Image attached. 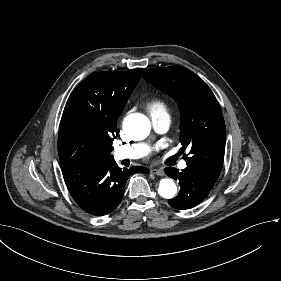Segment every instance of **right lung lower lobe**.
Returning <instances> with one entry per match:
<instances>
[{
    "mask_svg": "<svg viewBox=\"0 0 281 281\" xmlns=\"http://www.w3.org/2000/svg\"><path fill=\"white\" fill-rule=\"evenodd\" d=\"M62 157L61 170L73 199L89 214L102 216L111 213L120 204L126 182L134 172L149 173L145 167L121 169L113 160L90 155Z\"/></svg>",
    "mask_w": 281,
    "mask_h": 281,
    "instance_id": "obj_1",
    "label": "right lung lower lobe"
}]
</instances>
